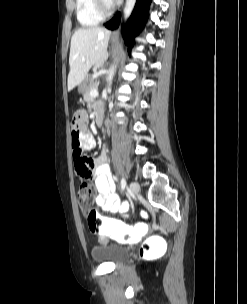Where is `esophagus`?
<instances>
[{"label":"esophagus","instance_id":"1","mask_svg":"<svg viewBox=\"0 0 247 304\" xmlns=\"http://www.w3.org/2000/svg\"><path fill=\"white\" fill-rule=\"evenodd\" d=\"M112 35L114 36V37H117L118 36V31H113V33H112Z\"/></svg>","mask_w":247,"mask_h":304}]
</instances>
